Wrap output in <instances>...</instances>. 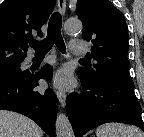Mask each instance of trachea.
Masks as SVG:
<instances>
[{"mask_svg": "<svg viewBox=\"0 0 144 137\" xmlns=\"http://www.w3.org/2000/svg\"><path fill=\"white\" fill-rule=\"evenodd\" d=\"M62 17L60 13L54 12L49 20L47 37L41 41L31 40L30 46L36 54H46L56 44L58 50L65 53L66 48L61 35Z\"/></svg>", "mask_w": 144, "mask_h": 137, "instance_id": "obj_1", "label": "trachea"}]
</instances>
